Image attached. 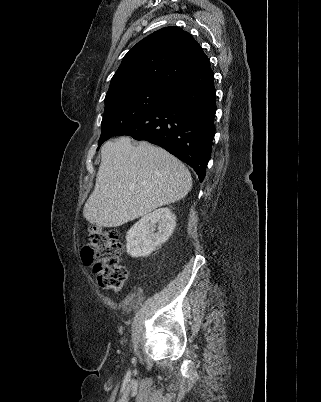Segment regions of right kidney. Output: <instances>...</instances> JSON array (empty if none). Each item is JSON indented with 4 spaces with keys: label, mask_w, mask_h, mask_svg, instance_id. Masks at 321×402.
<instances>
[{
    "label": "right kidney",
    "mask_w": 321,
    "mask_h": 402,
    "mask_svg": "<svg viewBox=\"0 0 321 402\" xmlns=\"http://www.w3.org/2000/svg\"><path fill=\"white\" fill-rule=\"evenodd\" d=\"M175 226L176 217L169 208L146 214L126 234L127 253L135 258L149 256L168 240Z\"/></svg>",
    "instance_id": "obj_1"
}]
</instances>
